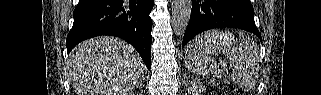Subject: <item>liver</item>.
I'll return each mask as SVG.
<instances>
[{
    "mask_svg": "<svg viewBox=\"0 0 321 95\" xmlns=\"http://www.w3.org/2000/svg\"><path fill=\"white\" fill-rule=\"evenodd\" d=\"M67 69L77 95H126L142 82L145 65L131 45L103 36L76 46Z\"/></svg>",
    "mask_w": 321,
    "mask_h": 95,
    "instance_id": "6515ba94",
    "label": "liver"
}]
</instances>
